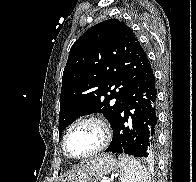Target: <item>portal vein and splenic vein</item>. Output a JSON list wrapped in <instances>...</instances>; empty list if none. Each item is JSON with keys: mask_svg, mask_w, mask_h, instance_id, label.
I'll list each match as a JSON object with an SVG mask.
<instances>
[{"mask_svg": "<svg viewBox=\"0 0 196 182\" xmlns=\"http://www.w3.org/2000/svg\"><path fill=\"white\" fill-rule=\"evenodd\" d=\"M101 182H108L107 180H101Z\"/></svg>", "mask_w": 196, "mask_h": 182, "instance_id": "18ae733b", "label": "portal vein and splenic vein"}]
</instances>
